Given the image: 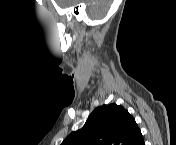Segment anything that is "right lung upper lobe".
<instances>
[{
  "label": "right lung upper lobe",
  "instance_id": "1",
  "mask_svg": "<svg viewBox=\"0 0 176 145\" xmlns=\"http://www.w3.org/2000/svg\"><path fill=\"white\" fill-rule=\"evenodd\" d=\"M61 145H144V141L135 119L113 103L96 108L85 125Z\"/></svg>",
  "mask_w": 176,
  "mask_h": 145
}]
</instances>
